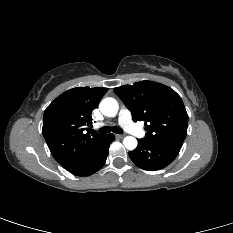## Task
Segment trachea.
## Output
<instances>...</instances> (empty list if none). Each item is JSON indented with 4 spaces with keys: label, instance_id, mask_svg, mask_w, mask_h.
<instances>
[{
    "label": "trachea",
    "instance_id": "1",
    "mask_svg": "<svg viewBox=\"0 0 233 233\" xmlns=\"http://www.w3.org/2000/svg\"><path fill=\"white\" fill-rule=\"evenodd\" d=\"M112 131L114 133H117V134H122L123 133V130L118 126L112 127ZM109 132H111V128L109 126H105V127L101 128L99 130V133H101V134H106V133H109Z\"/></svg>",
    "mask_w": 233,
    "mask_h": 233
}]
</instances>
